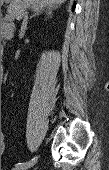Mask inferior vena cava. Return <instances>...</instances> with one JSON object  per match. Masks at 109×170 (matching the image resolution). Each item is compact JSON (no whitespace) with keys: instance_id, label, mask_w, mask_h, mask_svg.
Returning a JSON list of instances; mask_svg holds the SVG:
<instances>
[{"instance_id":"inferior-vena-cava-1","label":"inferior vena cava","mask_w":109,"mask_h":170,"mask_svg":"<svg viewBox=\"0 0 109 170\" xmlns=\"http://www.w3.org/2000/svg\"><path fill=\"white\" fill-rule=\"evenodd\" d=\"M23 17H24V19L22 21L21 32H23V30L26 29V27H27L28 15H27L26 11L23 13Z\"/></svg>"}]
</instances>
